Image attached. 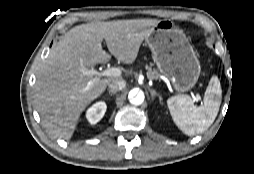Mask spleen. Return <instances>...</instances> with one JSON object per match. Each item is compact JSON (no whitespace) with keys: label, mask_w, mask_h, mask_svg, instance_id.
I'll return each instance as SVG.
<instances>
[{"label":"spleen","mask_w":254,"mask_h":174,"mask_svg":"<svg viewBox=\"0 0 254 174\" xmlns=\"http://www.w3.org/2000/svg\"><path fill=\"white\" fill-rule=\"evenodd\" d=\"M222 90L216 76L205 91L203 104L196 107L188 95H177L168 99L167 104L173 121L186 135L193 136L206 131L216 119L221 105Z\"/></svg>","instance_id":"1"}]
</instances>
